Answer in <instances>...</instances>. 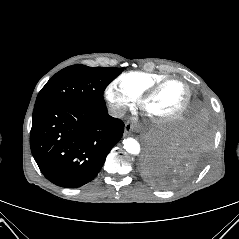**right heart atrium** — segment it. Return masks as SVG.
<instances>
[{"mask_svg":"<svg viewBox=\"0 0 239 239\" xmlns=\"http://www.w3.org/2000/svg\"><path fill=\"white\" fill-rule=\"evenodd\" d=\"M105 97L112 112L122 115L135 102V98L122 90L116 81L109 83L105 89Z\"/></svg>","mask_w":239,"mask_h":239,"instance_id":"1","label":"right heart atrium"}]
</instances>
